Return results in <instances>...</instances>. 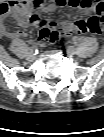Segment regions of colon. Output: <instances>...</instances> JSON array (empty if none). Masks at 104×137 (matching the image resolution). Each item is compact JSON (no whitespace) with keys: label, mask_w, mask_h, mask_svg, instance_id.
Masks as SVG:
<instances>
[{"label":"colon","mask_w":104,"mask_h":137,"mask_svg":"<svg viewBox=\"0 0 104 137\" xmlns=\"http://www.w3.org/2000/svg\"><path fill=\"white\" fill-rule=\"evenodd\" d=\"M102 18L99 16H94L91 20H90V24L93 26V28L91 29L92 31L95 28H100L101 24H102ZM64 33L62 28H57L54 26H50V25H40V32H39V41L42 44H52V43H56L60 40L62 34ZM102 33V30L100 33H97L96 35H99Z\"/></svg>","instance_id":"5ec220e1"}]
</instances>
